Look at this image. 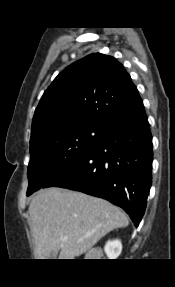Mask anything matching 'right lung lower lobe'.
Here are the masks:
<instances>
[{
  "label": "right lung lower lobe",
  "mask_w": 175,
  "mask_h": 287,
  "mask_svg": "<svg viewBox=\"0 0 175 287\" xmlns=\"http://www.w3.org/2000/svg\"><path fill=\"white\" fill-rule=\"evenodd\" d=\"M152 135L142 105L106 125L96 146L43 188L58 186L100 197L124 209L137 227L152 183Z\"/></svg>",
  "instance_id": "1"
}]
</instances>
